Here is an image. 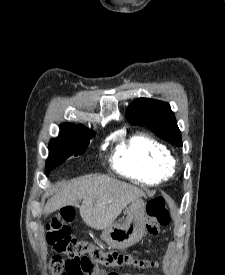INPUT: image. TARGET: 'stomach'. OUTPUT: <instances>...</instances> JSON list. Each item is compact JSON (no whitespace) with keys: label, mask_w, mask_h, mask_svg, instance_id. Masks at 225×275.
<instances>
[{"label":"stomach","mask_w":225,"mask_h":275,"mask_svg":"<svg viewBox=\"0 0 225 275\" xmlns=\"http://www.w3.org/2000/svg\"><path fill=\"white\" fill-rule=\"evenodd\" d=\"M146 226V203L141 198L133 200L123 222L103 229L101 239L110 247L124 249L141 240Z\"/></svg>","instance_id":"1"}]
</instances>
